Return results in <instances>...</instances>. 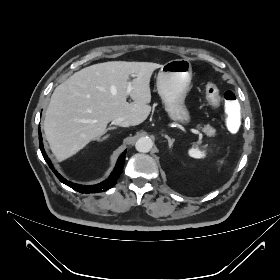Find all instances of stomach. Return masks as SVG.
I'll return each instance as SVG.
<instances>
[{
	"label": "stomach",
	"instance_id": "obj_1",
	"mask_svg": "<svg viewBox=\"0 0 280 280\" xmlns=\"http://www.w3.org/2000/svg\"><path fill=\"white\" fill-rule=\"evenodd\" d=\"M192 79V66L188 59L170 60L161 66L157 76V90L165 111L171 120L188 123L190 113L185 98Z\"/></svg>",
	"mask_w": 280,
	"mask_h": 280
}]
</instances>
